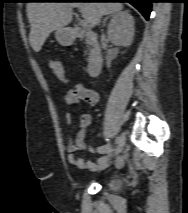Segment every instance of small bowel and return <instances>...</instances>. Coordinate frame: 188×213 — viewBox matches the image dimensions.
Returning <instances> with one entry per match:
<instances>
[{
  "instance_id": "1",
  "label": "small bowel",
  "mask_w": 188,
  "mask_h": 213,
  "mask_svg": "<svg viewBox=\"0 0 188 213\" xmlns=\"http://www.w3.org/2000/svg\"><path fill=\"white\" fill-rule=\"evenodd\" d=\"M81 101H85L92 106H95L100 101L99 93L83 84H78L68 89L64 95V102L67 107V113L65 115V122L71 121L72 112L79 106ZM92 117L89 113H83L80 116V130L77 133L75 140L73 141L70 135H67V150L68 162L80 169L95 170L97 168L96 162L93 160H85L76 155L78 150H89L92 153L99 155L97 162L100 166H106L109 159L112 157V148L109 143H105L96 147L89 144L87 139V131L91 124ZM123 165V159L118 157L115 160V166L121 167Z\"/></svg>"
}]
</instances>
